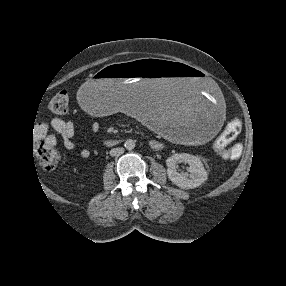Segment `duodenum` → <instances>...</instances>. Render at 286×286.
Segmentation results:
<instances>
[{
    "instance_id": "1",
    "label": "duodenum",
    "mask_w": 286,
    "mask_h": 286,
    "mask_svg": "<svg viewBox=\"0 0 286 286\" xmlns=\"http://www.w3.org/2000/svg\"><path fill=\"white\" fill-rule=\"evenodd\" d=\"M115 143V141H113V140H109V141H107V145H113Z\"/></svg>"
}]
</instances>
